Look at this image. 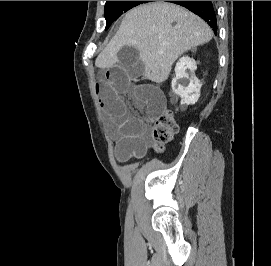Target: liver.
Wrapping results in <instances>:
<instances>
[{
	"label": "liver",
	"instance_id": "6515ba94",
	"mask_svg": "<svg viewBox=\"0 0 271 266\" xmlns=\"http://www.w3.org/2000/svg\"><path fill=\"white\" fill-rule=\"evenodd\" d=\"M175 23V25H173ZM213 37L211 28L200 17L171 3L155 2L133 8L107 47L98 55V68L112 67L124 46H134L148 67L143 78L155 83L167 80L173 63L192 47Z\"/></svg>",
	"mask_w": 271,
	"mask_h": 266
}]
</instances>
